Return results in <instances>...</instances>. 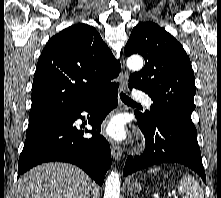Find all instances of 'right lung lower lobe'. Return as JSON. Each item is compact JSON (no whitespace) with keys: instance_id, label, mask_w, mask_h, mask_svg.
Here are the masks:
<instances>
[{"instance_id":"98d812e1","label":"right lung lower lobe","mask_w":221,"mask_h":198,"mask_svg":"<svg viewBox=\"0 0 221 198\" xmlns=\"http://www.w3.org/2000/svg\"><path fill=\"white\" fill-rule=\"evenodd\" d=\"M118 87L119 84H115L77 111L27 133L19 157L18 177L38 164L62 161L79 166L102 185L112 161L109 143L98 133L103 119L118 104ZM83 111L92 112L90 139L83 138L89 130L73 125L78 118L83 119Z\"/></svg>"}]
</instances>
